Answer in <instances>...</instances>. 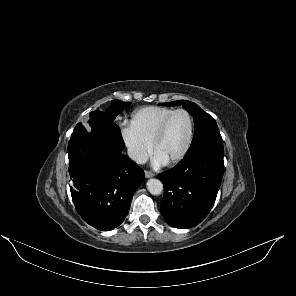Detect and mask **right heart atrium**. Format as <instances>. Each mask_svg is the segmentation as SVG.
Listing matches in <instances>:
<instances>
[{
  "mask_svg": "<svg viewBox=\"0 0 296 296\" xmlns=\"http://www.w3.org/2000/svg\"><path fill=\"white\" fill-rule=\"evenodd\" d=\"M121 134L131 159L137 163H143L151 151V146L143 141L131 127H124Z\"/></svg>",
  "mask_w": 296,
  "mask_h": 296,
  "instance_id": "d8ad5b80",
  "label": "right heart atrium"
}]
</instances>
